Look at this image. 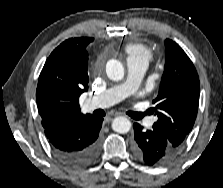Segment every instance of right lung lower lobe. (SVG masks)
Returning <instances> with one entry per match:
<instances>
[{"instance_id": "obj_1", "label": "right lung lower lobe", "mask_w": 223, "mask_h": 188, "mask_svg": "<svg viewBox=\"0 0 223 188\" xmlns=\"http://www.w3.org/2000/svg\"><path fill=\"white\" fill-rule=\"evenodd\" d=\"M103 118L88 117L67 125L45 129L46 137L56 156L72 167H84L99 154V131Z\"/></svg>"}]
</instances>
